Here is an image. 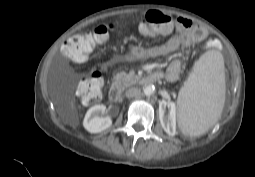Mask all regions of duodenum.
Wrapping results in <instances>:
<instances>
[{"label": "duodenum", "mask_w": 255, "mask_h": 177, "mask_svg": "<svg viewBox=\"0 0 255 177\" xmlns=\"http://www.w3.org/2000/svg\"><path fill=\"white\" fill-rule=\"evenodd\" d=\"M162 78L161 73L159 72H152L146 74L140 78V82L142 84H151L156 83ZM109 97L113 102H119L121 100V90L118 86H113L109 90Z\"/></svg>", "instance_id": "duodenum-1"}]
</instances>
